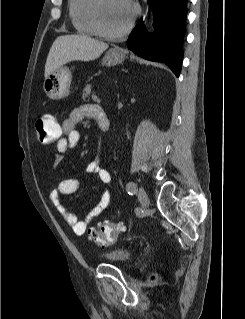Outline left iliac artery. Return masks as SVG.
Wrapping results in <instances>:
<instances>
[{
	"mask_svg": "<svg viewBox=\"0 0 245 319\" xmlns=\"http://www.w3.org/2000/svg\"><path fill=\"white\" fill-rule=\"evenodd\" d=\"M126 190L128 192L129 195H133L135 194L136 191V184L134 182H129L126 185Z\"/></svg>",
	"mask_w": 245,
	"mask_h": 319,
	"instance_id": "44dca946",
	"label": "left iliac artery"
}]
</instances>
